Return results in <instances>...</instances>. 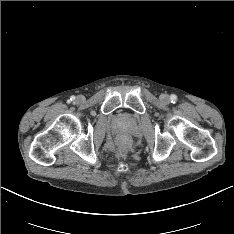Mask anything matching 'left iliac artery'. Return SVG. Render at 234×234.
Listing matches in <instances>:
<instances>
[{
	"label": "left iliac artery",
	"mask_w": 234,
	"mask_h": 234,
	"mask_svg": "<svg viewBox=\"0 0 234 234\" xmlns=\"http://www.w3.org/2000/svg\"><path fill=\"white\" fill-rule=\"evenodd\" d=\"M170 100H171L172 103H175L177 101V96L175 94H172L170 96Z\"/></svg>",
	"instance_id": "obj_1"
}]
</instances>
